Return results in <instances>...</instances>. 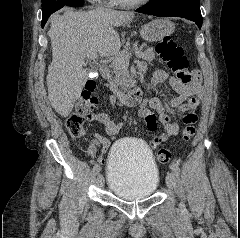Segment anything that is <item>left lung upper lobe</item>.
<instances>
[{"label": "left lung upper lobe", "instance_id": "obj_1", "mask_svg": "<svg viewBox=\"0 0 240 238\" xmlns=\"http://www.w3.org/2000/svg\"><path fill=\"white\" fill-rule=\"evenodd\" d=\"M154 1H156V0H150V2H154Z\"/></svg>", "mask_w": 240, "mask_h": 238}]
</instances>
